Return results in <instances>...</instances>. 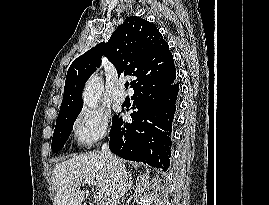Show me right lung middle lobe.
<instances>
[{
  "label": "right lung middle lobe",
  "mask_w": 269,
  "mask_h": 205,
  "mask_svg": "<svg viewBox=\"0 0 269 205\" xmlns=\"http://www.w3.org/2000/svg\"><path fill=\"white\" fill-rule=\"evenodd\" d=\"M79 112L58 118L56 120V126L51 145L52 151L57 152L64 147V144L71 133L74 121L76 120Z\"/></svg>",
  "instance_id": "obj_1"
}]
</instances>
